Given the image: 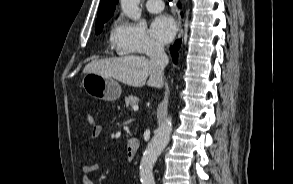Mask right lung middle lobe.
Segmentation results:
<instances>
[{
    "label": "right lung middle lobe",
    "mask_w": 293,
    "mask_h": 184,
    "mask_svg": "<svg viewBox=\"0 0 293 184\" xmlns=\"http://www.w3.org/2000/svg\"><path fill=\"white\" fill-rule=\"evenodd\" d=\"M103 26H104V25L96 26V27H95V33H96V34H99V33L102 31Z\"/></svg>",
    "instance_id": "dd1d6c3e"
}]
</instances>
